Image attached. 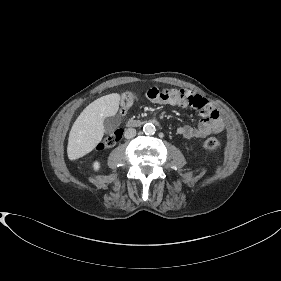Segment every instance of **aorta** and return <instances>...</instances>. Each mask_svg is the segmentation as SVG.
<instances>
[{"label":"aorta","instance_id":"aorta-1","mask_svg":"<svg viewBox=\"0 0 281 281\" xmlns=\"http://www.w3.org/2000/svg\"><path fill=\"white\" fill-rule=\"evenodd\" d=\"M156 131L155 129V126L152 124V123H146L144 126H143V132L146 134V135H152L154 134Z\"/></svg>","mask_w":281,"mask_h":281}]
</instances>
